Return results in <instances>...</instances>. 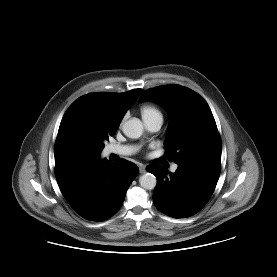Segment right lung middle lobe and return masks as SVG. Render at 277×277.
Instances as JSON below:
<instances>
[{
  "label": "right lung middle lobe",
  "mask_w": 277,
  "mask_h": 277,
  "mask_svg": "<svg viewBox=\"0 0 277 277\" xmlns=\"http://www.w3.org/2000/svg\"><path fill=\"white\" fill-rule=\"evenodd\" d=\"M74 123L80 137L97 157L100 156L104 148V142L116 132V130L110 129L106 125L94 121L84 114L76 115Z\"/></svg>",
  "instance_id": "1"
}]
</instances>
